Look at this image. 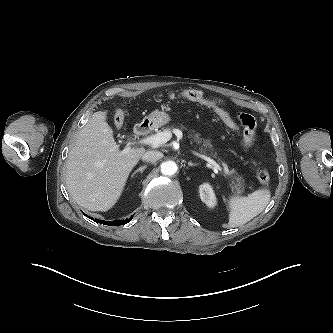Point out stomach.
<instances>
[{"instance_id": "stomach-1", "label": "stomach", "mask_w": 333, "mask_h": 333, "mask_svg": "<svg viewBox=\"0 0 333 333\" xmlns=\"http://www.w3.org/2000/svg\"><path fill=\"white\" fill-rule=\"evenodd\" d=\"M145 121L147 122V124L151 125L152 127H160L171 121V117L164 111L156 110L151 112L145 118Z\"/></svg>"}]
</instances>
